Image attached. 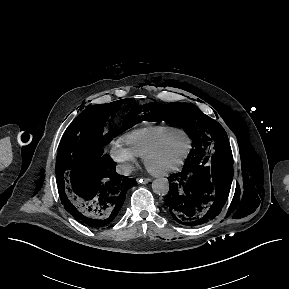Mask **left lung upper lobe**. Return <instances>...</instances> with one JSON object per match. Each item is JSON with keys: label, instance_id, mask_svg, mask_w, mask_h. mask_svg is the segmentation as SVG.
Listing matches in <instances>:
<instances>
[{"label": "left lung upper lobe", "instance_id": "left-lung-upper-lobe-1", "mask_svg": "<svg viewBox=\"0 0 289 289\" xmlns=\"http://www.w3.org/2000/svg\"><path fill=\"white\" fill-rule=\"evenodd\" d=\"M144 119L163 120L181 125L193 141L190 156H206L219 167L232 166L233 159L228 137L223 127L190 103L155 102L143 105Z\"/></svg>", "mask_w": 289, "mask_h": 289}]
</instances>
